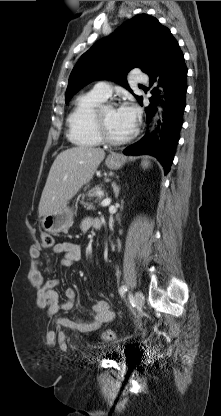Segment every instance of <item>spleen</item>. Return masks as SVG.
<instances>
[{
	"label": "spleen",
	"mask_w": 221,
	"mask_h": 416,
	"mask_svg": "<svg viewBox=\"0 0 221 416\" xmlns=\"http://www.w3.org/2000/svg\"><path fill=\"white\" fill-rule=\"evenodd\" d=\"M142 166H143V168H147V167L149 166V161L144 160V161L142 162Z\"/></svg>",
	"instance_id": "spleen-1"
}]
</instances>
